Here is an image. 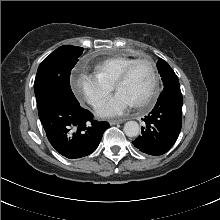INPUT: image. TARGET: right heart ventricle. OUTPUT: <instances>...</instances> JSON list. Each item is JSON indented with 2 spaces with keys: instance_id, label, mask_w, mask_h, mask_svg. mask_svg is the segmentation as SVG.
I'll list each match as a JSON object with an SVG mask.
<instances>
[{
  "instance_id": "1",
  "label": "right heart ventricle",
  "mask_w": 220,
  "mask_h": 220,
  "mask_svg": "<svg viewBox=\"0 0 220 220\" xmlns=\"http://www.w3.org/2000/svg\"><path fill=\"white\" fill-rule=\"evenodd\" d=\"M135 58L128 56H115L104 59L94 65V73L97 77L109 85H114L125 67Z\"/></svg>"
}]
</instances>
